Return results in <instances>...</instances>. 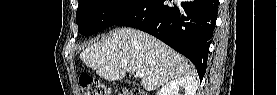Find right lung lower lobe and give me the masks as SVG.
<instances>
[{
    "instance_id": "obj_1",
    "label": "right lung lower lobe",
    "mask_w": 277,
    "mask_h": 95,
    "mask_svg": "<svg viewBox=\"0 0 277 95\" xmlns=\"http://www.w3.org/2000/svg\"><path fill=\"white\" fill-rule=\"evenodd\" d=\"M219 0H142L115 25L147 32L195 65L203 79Z\"/></svg>"
}]
</instances>
